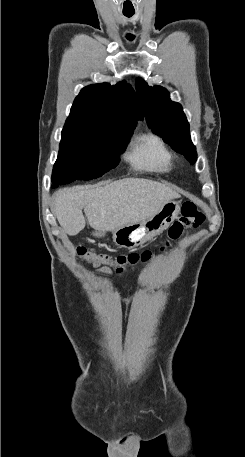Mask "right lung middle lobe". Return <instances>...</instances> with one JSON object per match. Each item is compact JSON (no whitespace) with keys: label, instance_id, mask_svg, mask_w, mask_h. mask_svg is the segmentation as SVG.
Instances as JSON below:
<instances>
[{"label":"right lung middle lobe","instance_id":"1","mask_svg":"<svg viewBox=\"0 0 245 457\" xmlns=\"http://www.w3.org/2000/svg\"><path fill=\"white\" fill-rule=\"evenodd\" d=\"M133 130L132 125L66 120L52 188L74 180L95 179L115 168Z\"/></svg>","mask_w":245,"mask_h":457}]
</instances>
